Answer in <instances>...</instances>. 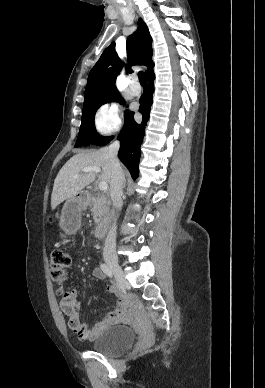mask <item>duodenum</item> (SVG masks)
Instances as JSON below:
<instances>
[{"label":"duodenum","instance_id":"410a0bca","mask_svg":"<svg viewBox=\"0 0 265 388\" xmlns=\"http://www.w3.org/2000/svg\"><path fill=\"white\" fill-rule=\"evenodd\" d=\"M78 200L82 204H88L93 199V194L90 191H82L78 194ZM111 216L108 215L101 220V222L96 227V235L101 238L104 237L111 224Z\"/></svg>","mask_w":265,"mask_h":388}]
</instances>
